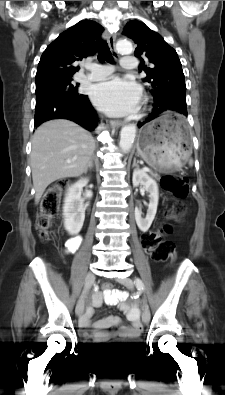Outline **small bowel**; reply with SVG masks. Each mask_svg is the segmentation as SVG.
I'll return each mask as SVG.
<instances>
[{
    "mask_svg": "<svg viewBox=\"0 0 225 395\" xmlns=\"http://www.w3.org/2000/svg\"><path fill=\"white\" fill-rule=\"evenodd\" d=\"M81 244L80 236H73L69 238L65 247L68 252L76 251ZM126 293L109 288H103L102 293H96L92 299V305L89 306L84 315L80 319V326L82 328H88L92 326L94 332L89 333L82 331L81 336L85 339L92 338L97 342H104L113 336V332L108 329L114 325L120 323V319L115 316H107L103 319L96 321L91 324V318L94 312V308L99 307L103 302L110 305H119V307L126 313L128 320L131 322V326H124L120 329V335L124 337H136L140 334L141 328L139 324L140 312L136 307L130 306L125 303Z\"/></svg>",
    "mask_w": 225,
    "mask_h": 395,
    "instance_id": "c3829d8e",
    "label": "small bowel"
}]
</instances>
